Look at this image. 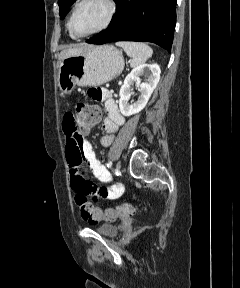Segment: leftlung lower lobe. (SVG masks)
Segmentation results:
<instances>
[{
  "label": "left lung lower lobe",
  "instance_id": "1",
  "mask_svg": "<svg viewBox=\"0 0 240 288\" xmlns=\"http://www.w3.org/2000/svg\"><path fill=\"white\" fill-rule=\"evenodd\" d=\"M114 1L116 13L109 27L87 43L147 41L171 52L177 0Z\"/></svg>",
  "mask_w": 240,
  "mask_h": 288
}]
</instances>
